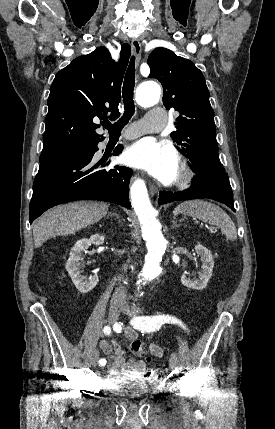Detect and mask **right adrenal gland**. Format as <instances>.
Wrapping results in <instances>:
<instances>
[{
	"instance_id": "1",
	"label": "right adrenal gland",
	"mask_w": 275,
	"mask_h": 429,
	"mask_svg": "<svg viewBox=\"0 0 275 429\" xmlns=\"http://www.w3.org/2000/svg\"><path fill=\"white\" fill-rule=\"evenodd\" d=\"M109 216H115V217H116V219H118V221H119V222H121L120 217H119V215H118L116 212H109V213H108V217H109Z\"/></svg>"
}]
</instances>
